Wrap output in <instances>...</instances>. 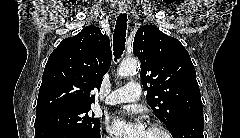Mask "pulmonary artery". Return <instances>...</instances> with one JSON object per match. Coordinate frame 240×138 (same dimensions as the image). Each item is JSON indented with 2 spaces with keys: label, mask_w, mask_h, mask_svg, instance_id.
I'll list each match as a JSON object with an SVG mask.
<instances>
[{
  "label": "pulmonary artery",
  "mask_w": 240,
  "mask_h": 138,
  "mask_svg": "<svg viewBox=\"0 0 240 138\" xmlns=\"http://www.w3.org/2000/svg\"><path fill=\"white\" fill-rule=\"evenodd\" d=\"M140 87L137 82L131 81L122 88L111 92L105 99L106 104L114 106L117 104L134 103L140 98Z\"/></svg>",
  "instance_id": "e3ab8cb5"
}]
</instances>
